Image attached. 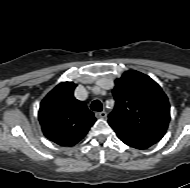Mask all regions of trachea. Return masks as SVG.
<instances>
[{
	"label": "trachea",
	"mask_w": 190,
	"mask_h": 188,
	"mask_svg": "<svg viewBox=\"0 0 190 188\" xmlns=\"http://www.w3.org/2000/svg\"><path fill=\"white\" fill-rule=\"evenodd\" d=\"M91 110L93 111H102V103L99 101V100H94L92 103H91V106H90Z\"/></svg>",
	"instance_id": "obj_1"
}]
</instances>
